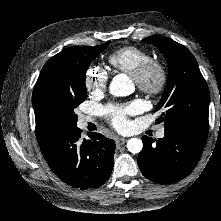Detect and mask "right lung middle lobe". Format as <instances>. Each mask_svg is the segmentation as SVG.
<instances>
[{
  "instance_id": "right-lung-middle-lobe-1",
  "label": "right lung middle lobe",
  "mask_w": 221,
  "mask_h": 221,
  "mask_svg": "<svg viewBox=\"0 0 221 221\" xmlns=\"http://www.w3.org/2000/svg\"><path fill=\"white\" fill-rule=\"evenodd\" d=\"M109 44L110 42L94 47L84 46L77 55L64 62L59 72L48 81L46 85L47 95L64 113L65 127L76 126L77 115L74 109L87 96L85 86L86 70L90 63Z\"/></svg>"
}]
</instances>
